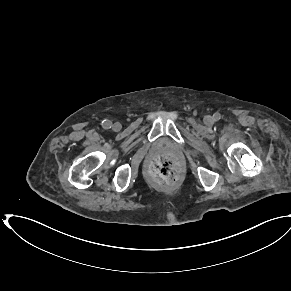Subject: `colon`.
<instances>
[{
    "label": "colon",
    "instance_id": "1",
    "mask_svg": "<svg viewBox=\"0 0 291 291\" xmlns=\"http://www.w3.org/2000/svg\"><path fill=\"white\" fill-rule=\"evenodd\" d=\"M151 172L159 185H168L176 179L177 165L173 159L161 157L153 162Z\"/></svg>",
    "mask_w": 291,
    "mask_h": 291
}]
</instances>
